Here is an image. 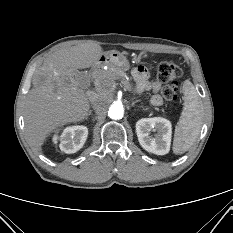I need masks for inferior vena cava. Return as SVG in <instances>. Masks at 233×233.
<instances>
[{
	"label": "inferior vena cava",
	"instance_id": "inferior-vena-cava-1",
	"mask_svg": "<svg viewBox=\"0 0 233 233\" xmlns=\"http://www.w3.org/2000/svg\"><path fill=\"white\" fill-rule=\"evenodd\" d=\"M87 97L90 100V102L94 105L99 100L100 94L95 91H88Z\"/></svg>",
	"mask_w": 233,
	"mask_h": 233
}]
</instances>
